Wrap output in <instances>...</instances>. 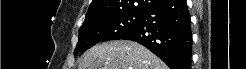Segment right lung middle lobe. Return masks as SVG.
<instances>
[{"label": "right lung middle lobe", "mask_w": 246, "mask_h": 69, "mask_svg": "<svg viewBox=\"0 0 246 69\" xmlns=\"http://www.w3.org/2000/svg\"><path fill=\"white\" fill-rule=\"evenodd\" d=\"M141 20L142 14H122L84 22L79 29L74 55L99 42L120 39L127 31L139 25Z\"/></svg>", "instance_id": "1"}]
</instances>
